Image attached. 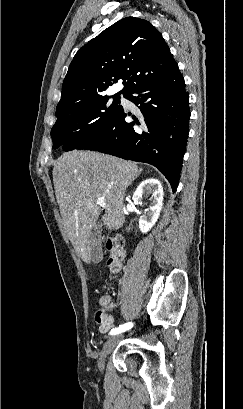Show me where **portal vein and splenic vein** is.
<instances>
[{"mask_svg":"<svg viewBox=\"0 0 243 409\" xmlns=\"http://www.w3.org/2000/svg\"><path fill=\"white\" fill-rule=\"evenodd\" d=\"M97 204H98L99 206H101L102 208H105V209H106V204H105V201H104L103 198H98V199H97Z\"/></svg>","mask_w":243,"mask_h":409,"instance_id":"obj_1","label":"portal vein and splenic vein"}]
</instances>
